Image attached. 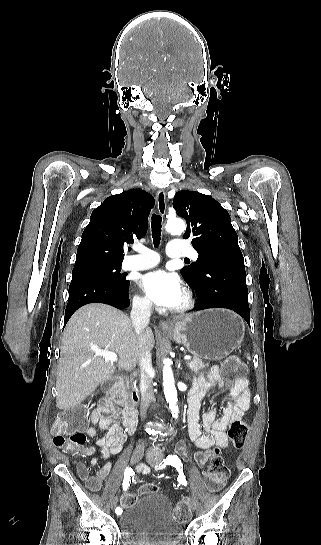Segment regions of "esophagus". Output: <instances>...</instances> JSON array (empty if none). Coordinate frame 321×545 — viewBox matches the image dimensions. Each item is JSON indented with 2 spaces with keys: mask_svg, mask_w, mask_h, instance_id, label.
<instances>
[{
  "mask_svg": "<svg viewBox=\"0 0 321 545\" xmlns=\"http://www.w3.org/2000/svg\"><path fill=\"white\" fill-rule=\"evenodd\" d=\"M157 206L159 213L164 216L166 213V194L164 189H159L156 196ZM159 328L162 329H174L175 325L172 322H159Z\"/></svg>",
  "mask_w": 321,
  "mask_h": 545,
  "instance_id": "esophagus-1",
  "label": "esophagus"
}]
</instances>
